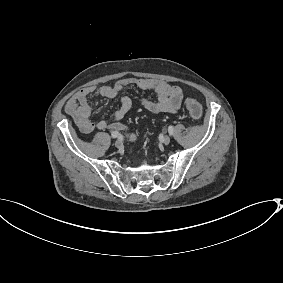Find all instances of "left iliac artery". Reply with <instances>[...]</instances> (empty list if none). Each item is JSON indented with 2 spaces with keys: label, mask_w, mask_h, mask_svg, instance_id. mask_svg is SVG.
Wrapping results in <instances>:
<instances>
[{
  "label": "left iliac artery",
  "mask_w": 283,
  "mask_h": 283,
  "mask_svg": "<svg viewBox=\"0 0 283 283\" xmlns=\"http://www.w3.org/2000/svg\"><path fill=\"white\" fill-rule=\"evenodd\" d=\"M168 132H169V134H170L171 136L173 135L174 129H173L172 126H169Z\"/></svg>",
  "instance_id": "1"
}]
</instances>
